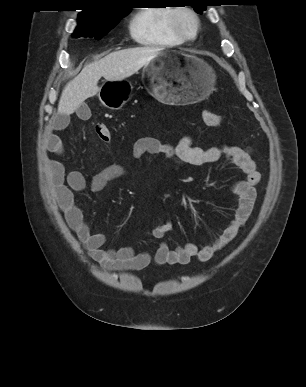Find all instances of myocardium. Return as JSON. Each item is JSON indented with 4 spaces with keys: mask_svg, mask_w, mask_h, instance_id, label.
<instances>
[{
    "mask_svg": "<svg viewBox=\"0 0 306 387\" xmlns=\"http://www.w3.org/2000/svg\"><path fill=\"white\" fill-rule=\"evenodd\" d=\"M183 15H189L194 21V31L188 33L182 25L181 18ZM171 26L173 31L184 41L195 40L201 29V21L198 13L191 7H179L175 8L171 17Z\"/></svg>",
    "mask_w": 306,
    "mask_h": 387,
    "instance_id": "myocardium-1",
    "label": "myocardium"
}]
</instances>
